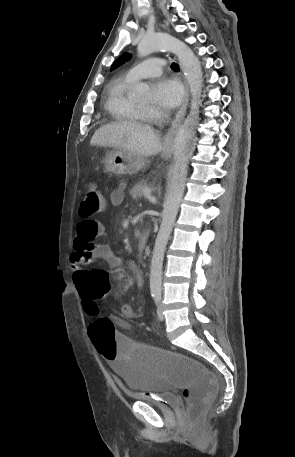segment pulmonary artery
<instances>
[{"label": "pulmonary artery", "mask_w": 295, "mask_h": 457, "mask_svg": "<svg viewBox=\"0 0 295 457\" xmlns=\"http://www.w3.org/2000/svg\"><path fill=\"white\" fill-rule=\"evenodd\" d=\"M164 65L165 61L163 59L149 58L132 67L128 71L127 77L135 81L143 78L156 77L161 74Z\"/></svg>", "instance_id": "pulmonary-artery-1"}]
</instances>
